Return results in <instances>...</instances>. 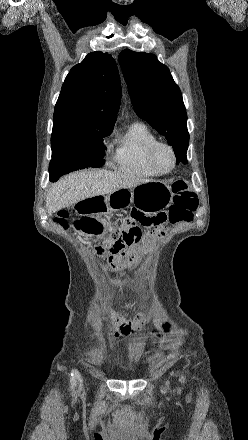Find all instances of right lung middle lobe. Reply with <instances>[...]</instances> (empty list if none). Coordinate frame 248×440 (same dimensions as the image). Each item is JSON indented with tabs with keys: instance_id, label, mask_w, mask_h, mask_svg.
I'll use <instances>...</instances> for the list:
<instances>
[{
	"instance_id": "1",
	"label": "right lung middle lobe",
	"mask_w": 248,
	"mask_h": 440,
	"mask_svg": "<svg viewBox=\"0 0 248 440\" xmlns=\"http://www.w3.org/2000/svg\"><path fill=\"white\" fill-rule=\"evenodd\" d=\"M111 132L112 130L98 131L79 140L51 146L50 181L54 182L60 176L74 170L103 166V154L106 149L103 140Z\"/></svg>"
}]
</instances>
